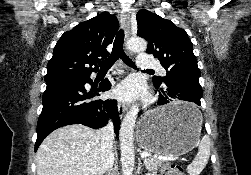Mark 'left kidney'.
<instances>
[{
    "instance_id": "left-kidney-1",
    "label": "left kidney",
    "mask_w": 251,
    "mask_h": 175,
    "mask_svg": "<svg viewBox=\"0 0 251 175\" xmlns=\"http://www.w3.org/2000/svg\"><path fill=\"white\" fill-rule=\"evenodd\" d=\"M146 175H156V173H146Z\"/></svg>"
}]
</instances>
